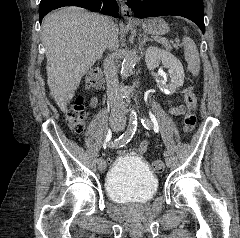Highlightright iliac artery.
<instances>
[{
	"mask_svg": "<svg viewBox=\"0 0 240 238\" xmlns=\"http://www.w3.org/2000/svg\"><path fill=\"white\" fill-rule=\"evenodd\" d=\"M137 128V118L131 117L129 121V125L127 127V130L117 139H115L113 142L109 141V146L112 148H120L123 147L125 144H127L133 137L135 131ZM108 144H106L107 146ZM103 161L102 158L98 159V163Z\"/></svg>",
	"mask_w": 240,
	"mask_h": 238,
	"instance_id": "1",
	"label": "right iliac artery"
}]
</instances>
